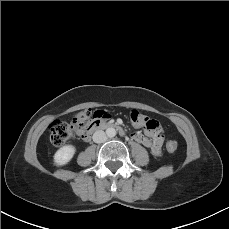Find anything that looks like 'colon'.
Segmentation results:
<instances>
[{"mask_svg": "<svg viewBox=\"0 0 229 229\" xmlns=\"http://www.w3.org/2000/svg\"><path fill=\"white\" fill-rule=\"evenodd\" d=\"M93 118L108 119L110 118V114L106 111L85 109L74 114L70 123L56 121L50 126V142L58 146L76 135L83 134L88 130ZM130 119L135 127H142L151 131H157L160 128L157 121L150 119L137 110H133L130 113ZM166 149L170 153H175L178 149V143L175 140H168L166 142Z\"/></svg>", "mask_w": 229, "mask_h": 229, "instance_id": "1", "label": "colon"}]
</instances>
